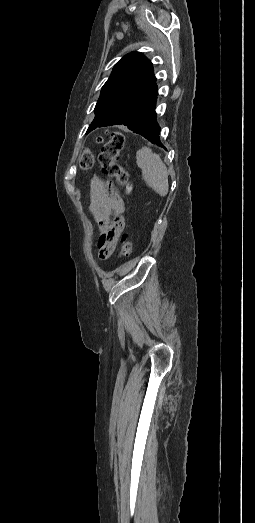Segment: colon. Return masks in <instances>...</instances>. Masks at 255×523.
<instances>
[{
	"label": "colon",
	"mask_w": 255,
	"mask_h": 523,
	"mask_svg": "<svg viewBox=\"0 0 255 523\" xmlns=\"http://www.w3.org/2000/svg\"><path fill=\"white\" fill-rule=\"evenodd\" d=\"M124 136L122 133L115 131L111 133L109 140L104 144L99 154L98 160L103 173L114 178L118 185L130 190L129 174L119 162V155L124 147ZM95 159L89 149H85L80 157V167L83 170H89L94 166ZM135 249L132 239L128 235H123L122 243L119 250L121 257H129Z\"/></svg>",
	"instance_id": "obj_1"
}]
</instances>
